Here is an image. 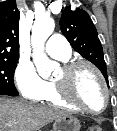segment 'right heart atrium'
I'll return each instance as SVG.
<instances>
[{
  "label": "right heart atrium",
  "mask_w": 117,
  "mask_h": 131,
  "mask_svg": "<svg viewBox=\"0 0 117 131\" xmlns=\"http://www.w3.org/2000/svg\"><path fill=\"white\" fill-rule=\"evenodd\" d=\"M14 80L20 94L29 100H39L47 87V82L27 62H20L17 65Z\"/></svg>",
  "instance_id": "1"
}]
</instances>
